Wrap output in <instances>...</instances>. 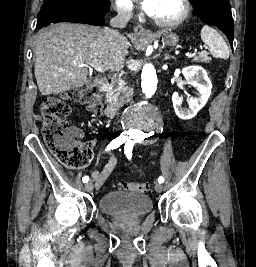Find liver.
<instances>
[{
	"label": "liver",
	"mask_w": 256,
	"mask_h": 267,
	"mask_svg": "<svg viewBox=\"0 0 256 267\" xmlns=\"http://www.w3.org/2000/svg\"><path fill=\"white\" fill-rule=\"evenodd\" d=\"M135 42L134 36H129ZM129 42L108 36L104 28L88 24H52L41 30L35 48V78L42 96L62 94L84 86L89 64L101 62L107 70L124 68ZM87 64V66H80Z\"/></svg>",
	"instance_id": "liver-1"
}]
</instances>
